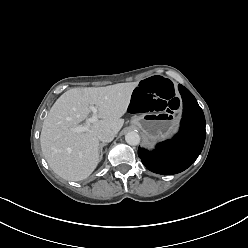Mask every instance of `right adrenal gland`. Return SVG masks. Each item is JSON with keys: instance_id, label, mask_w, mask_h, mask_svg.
<instances>
[{"instance_id": "1", "label": "right adrenal gland", "mask_w": 248, "mask_h": 248, "mask_svg": "<svg viewBox=\"0 0 248 248\" xmlns=\"http://www.w3.org/2000/svg\"><path fill=\"white\" fill-rule=\"evenodd\" d=\"M106 145H107V143H101L100 146H99V154H100L99 159L100 160L103 157V147L106 146Z\"/></svg>"}]
</instances>
